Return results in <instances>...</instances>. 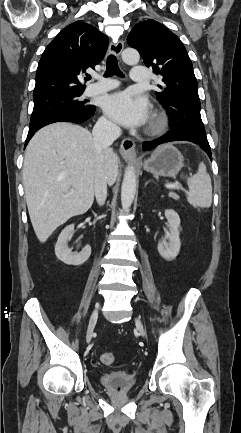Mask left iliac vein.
<instances>
[{
	"label": "left iliac vein",
	"instance_id": "1",
	"mask_svg": "<svg viewBox=\"0 0 241 433\" xmlns=\"http://www.w3.org/2000/svg\"><path fill=\"white\" fill-rule=\"evenodd\" d=\"M135 323H136V327H137V329L139 330V332H140V334L143 336V337H145V330H144V328H143V325H142V322H141V320L139 319V318H137L136 320H135Z\"/></svg>",
	"mask_w": 241,
	"mask_h": 433
}]
</instances>
